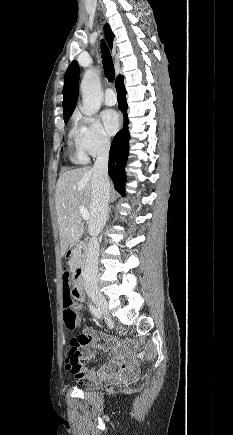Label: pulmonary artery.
I'll return each instance as SVG.
<instances>
[{
	"label": "pulmonary artery",
	"mask_w": 233,
	"mask_h": 435,
	"mask_svg": "<svg viewBox=\"0 0 233 435\" xmlns=\"http://www.w3.org/2000/svg\"><path fill=\"white\" fill-rule=\"evenodd\" d=\"M116 94L114 93V91L110 88L105 90V94H104V102L106 105H114L116 103Z\"/></svg>",
	"instance_id": "1"
}]
</instances>
